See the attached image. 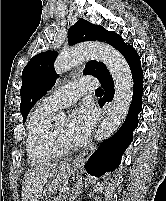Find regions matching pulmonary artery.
I'll return each mask as SVG.
<instances>
[{"label": "pulmonary artery", "instance_id": "1", "mask_svg": "<svg viewBox=\"0 0 166 201\" xmlns=\"http://www.w3.org/2000/svg\"><path fill=\"white\" fill-rule=\"evenodd\" d=\"M97 86L98 82L92 78L74 80L46 97L43 101V105L50 109L58 110L73 104L83 93L92 90Z\"/></svg>", "mask_w": 166, "mask_h": 201}]
</instances>
